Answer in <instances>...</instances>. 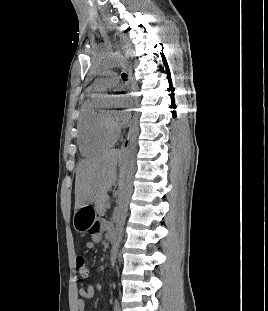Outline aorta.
I'll return each mask as SVG.
<instances>
[{
	"instance_id": "obj_1",
	"label": "aorta",
	"mask_w": 268,
	"mask_h": 311,
	"mask_svg": "<svg viewBox=\"0 0 268 311\" xmlns=\"http://www.w3.org/2000/svg\"><path fill=\"white\" fill-rule=\"evenodd\" d=\"M126 62L127 60L123 55L114 54L102 62V64L99 67V70L101 72H108L113 68L124 66ZM125 70L126 72L133 73L135 72L136 67L135 65H126ZM132 77H135V74H132ZM132 81H133L132 91L136 92V96L133 97V102L135 103L133 105V110L135 111L134 126H137L138 111L140 110V105L138 103L140 102L139 92L141 91V86L139 79L132 78ZM98 102L107 105L110 102V96L101 94L98 96ZM137 151H138V130L134 129L130 139L126 161L119 177V185H118L119 197L117 201L118 206L115 211L116 226L113 238V246L111 249L112 266L115 265L119 245L122 239V233L128 211V204L132 193Z\"/></svg>"
}]
</instances>
